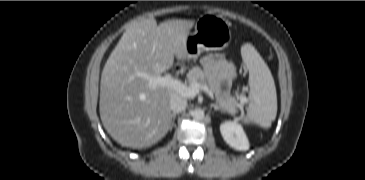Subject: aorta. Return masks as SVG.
<instances>
[{
    "label": "aorta",
    "instance_id": "1",
    "mask_svg": "<svg viewBox=\"0 0 365 180\" xmlns=\"http://www.w3.org/2000/svg\"><path fill=\"white\" fill-rule=\"evenodd\" d=\"M191 115L195 120H203L205 117V113L202 109L193 110Z\"/></svg>",
    "mask_w": 365,
    "mask_h": 180
}]
</instances>
